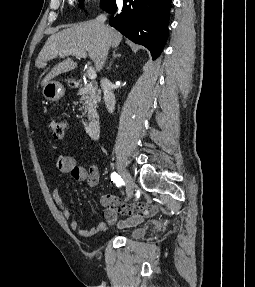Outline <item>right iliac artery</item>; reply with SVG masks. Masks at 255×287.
Listing matches in <instances>:
<instances>
[{"label":"right iliac artery","instance_id":"right-iliac-artery-1","mask_svg":"<svg viewBox=\"0 0 255 287\" xmlns=\"http://www.w3.org/2000/svg\"><path fill=\"white\" fill-rule=\"evenodd\" d=\"M111 180L113 181V183L116 184L117 187H121L124 184V182H123L122 178L120 177V175H118L115 172H113L111 174Z\"/></svg>","mask_w":255,"mask_h":287}]
</instances>
